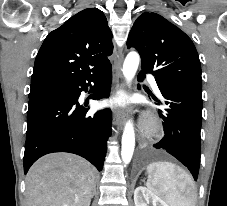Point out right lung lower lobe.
Segmentation results:
<instances>
[{
    "instance_id": "right-lung-lower-lobe-1",
    "label": "right lung lower lobe",
    "mask_w": 227,
    "mask_h": 206,
    "mask_svg": "<svg viewBox=\"0 0 227 206\" xmlns=\"http://www.w3.org/2000/svg\"><path fill=\"white\" fill-rule=\"evenodd\" d=\"M91 82H101L92 99H102L110 92L111 65L101 73L66 82L62 91L46 92L30 97L24 153V173L41 156L53 152H70L90 161L99 171L111 135V111L88 115L78 103L82 91Z\"/></svg>"
}]
</instances>
